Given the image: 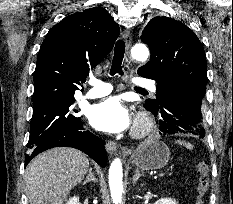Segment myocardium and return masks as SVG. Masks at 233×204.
<instances>
[{
	"mask_svg": "<svg viewBox=\"0 0 233 204\" xmlns=\"http://www.w3.org/2000/svg\"><path fill=\"white\" fill-rule=\"evenodd\" d=\"M153 126V120L148 114L143 112L139 113L132 130V135L136 138L143 137L151 132Z\"/></svg>",
	"mask_w": 233,
	"mask_h": 204,
	"instance_id": "1",
	"label": "myocardium"
}]
</instances>
